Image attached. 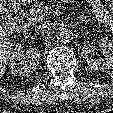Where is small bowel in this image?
I'll list each match as a JSON object with an SVG mask.
<instances>
[{"mask_svg": "<svg viewBox=\"0 0 113 113\" xmlns=\"http://www.w3.org/2000/svg\"><path fill=\"white\" fill-rule=\"evenodd\" d=\"M90 3L94 10L95 17L106 24L110 30L113 32V15L112 13H108L101 4V0H86ZM110 1V8L113 10V0H107ZM86 15H81V19H85Z\"/></svg>", "mask_w": 113, "mask_h": 113, "instance_id": "c3829d8e", "label": "small bowel"}]
</instances>
